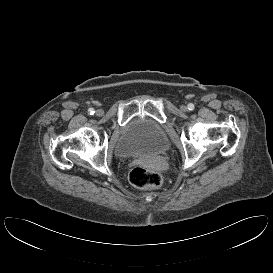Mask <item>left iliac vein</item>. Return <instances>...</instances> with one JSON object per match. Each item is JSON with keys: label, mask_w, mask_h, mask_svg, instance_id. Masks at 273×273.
Here are the masks:
<instances>
[{"label": "left iliac vein", "mask_w": 273, "mask_h": 273, "mask_svg": "<svg viewBox=\"0 0 273 273\" xmlns=\"http://www.w3.org/2000/svg\"><path fill=\"white\" fill-rule=\"evenodd\" d=\"M180 109H181V111H183V112H186V111H187V107L184 106V105H182V106L180 107Z\"/></svg>", "instance_id": "1"}]
</instances>
